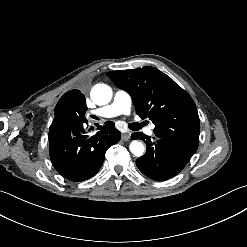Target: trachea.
<instances>
[{
  "mask_svg": "<svg viewBox=\"0 0 247 247\" xmlns=\"http://www.w3.org/2000/svg\"><path fill=\"white\" fill-rule=\"evenodd\" d=\"M144 125H145L144 122H142V123H132V124L129 125V127H130V129L136 131V130L141 129Z\"/></svg>",
  "mask_w": 247,
  "mask_h": 247,
  "instance_id": "trachea-1",
  "label": "trachea"
}]
</instances>
